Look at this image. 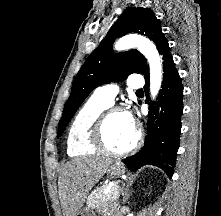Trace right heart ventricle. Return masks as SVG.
Masks as SVG:
<instances>
[{
	"mask_svg": "<svg viewBox=\"0 0 221 216\" xmlns=\"http://www.w3.org/2000/svg\"><path fill=\"white\" fill-rule=\"evenodd\" d=\"M109 106L90 98L74 117L67 135V153L73 157L97 152L92 142V131L98 118Z\"/></svg>",
	"mask_w": 221,
	"mask_h": 216,
	"instance_id": "obj_1",
	"label": "right heart ventricle"
}]
</instances>
